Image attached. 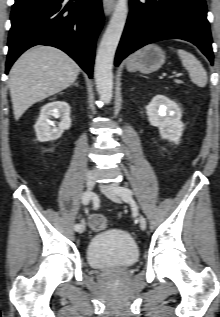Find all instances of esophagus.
Masks as SVG:
<instances>
[{"instance_id":"obj_1","label":"esophagus","mask_w":220,"mask_h":317,"mask_svg":"<svg viewBox=\"0 0 220 317\" xmlns=\"http://www.w3.org/2000/svg\"><path fill=\"white\" fill-rule=\"evenodd\" d=\"M104 12L109 16L115 8V0H103Z\"/></svg>"}]
</instances>
